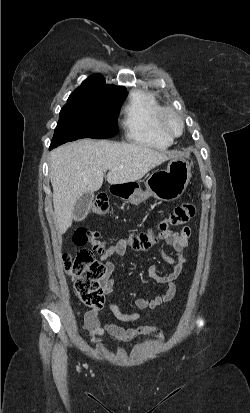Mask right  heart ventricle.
<instances>
[{"mask_svg": "<svg viewBox=\"0 0 250 413\" xmlns=\"http://www.w3.org/2000/svg\"><path fill=\"white\" fill-rule=\"evenodd\" d=\"M161 108V104L151 92L144 90L132 92L123 109L122 126L126 138L158 149L169 147L172 139L165 136L157 124Z\"/></svg>", "mask_w": 250, "mask_h": 413, "instance_id": "obj_1", "label": "right heart ventricle"}]
</instances>
